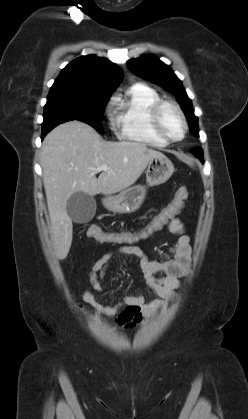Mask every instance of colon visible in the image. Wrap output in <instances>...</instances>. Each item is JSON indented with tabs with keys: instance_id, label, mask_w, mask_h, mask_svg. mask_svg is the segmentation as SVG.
<instances>
[{
	"instance_id": "obj_1",
	"label": "colon",
	"mask_w": 248,
	"mask_h": 419,
	"mask_svg": "<svg viewBox=\"0 0 248 419\" xmlns=\"http://www.w3.org/2000/svg\"><path fill=\"white\" fill-rule=\"evenodd\" d=\"M189 196L188 189L186 187H180L176 191L171 202L164 207L153 219L149 222L150 229L152 231H157L169 220L175 217L176 214L184 206ZM91 239L100 241V242H127L129 238L122 234H110L103 231L100 227L94 226L89 230Z\"/></svg>"
}]
</instances>
